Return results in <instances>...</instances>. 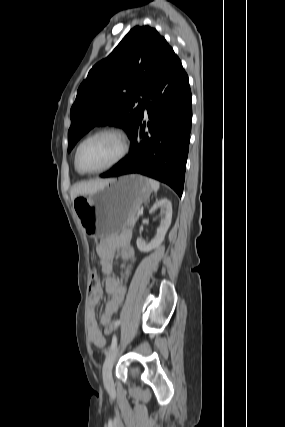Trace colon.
Here are the masks:
<instances>
[{"label":"colon","mask_w":285,"mask_h":427,"mask_svg":"<svg viewBox=\"0 0 285 427\" xmlns=\"http://www.w3.org/2000/svg\"><path fill=\"white\" fill-rule=\"evenodd\" d=\"M100 284H101V279H100L99 274L95 271H92L91 275H90V285H89L90 289L92 290V289H95L97 287H100ZM115 330H116L115 325H109L106 328V332L108 334H114Z\"/></svg>","instance_id":"obj_1"}]
</instances>
